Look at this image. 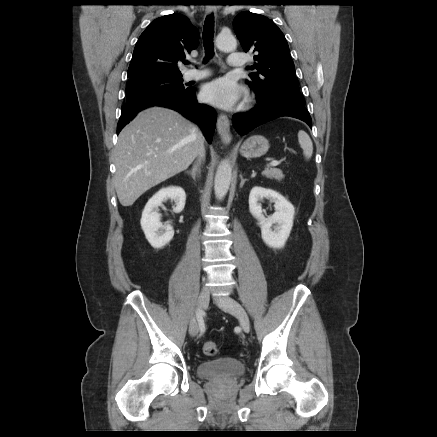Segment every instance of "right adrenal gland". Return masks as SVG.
<instances>
[{
    "label": "right adrenal gland",
    "mask_w": 437,
    "mask_h": 437,
    "mask_svg": "<svg viewBox=\"0 0 437 437\" xmlns=\"http://www.w3.org/2000/svg\"><path fill=\"white\" fill-rule=\"evenodd\" d=\"M200 167H201V161H197V162H195V163L193 164L192 170H190V171H186V173L189 174V175H191V177H192L193 180L195 181V180H196V176H197L198 174H200V171H201Z\"/></svg>",
    "instance_id": "1"
}]
</instances>
